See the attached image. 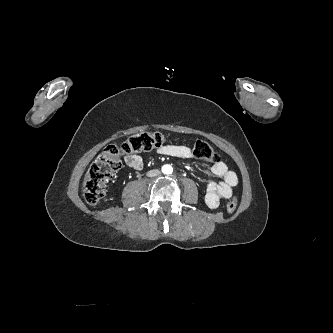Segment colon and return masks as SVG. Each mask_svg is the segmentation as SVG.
Listing matches in <instances>:
<instances>
[{"label": "colon", "instance_id": "5ec220e1", "mask_svg": "<svg viewBox=\"0 0 333 333\" xmlns=\"http://www.w3.org/2000/svg\"><path fill=\"white\" fill-rule=\"evenodd\" d=\"M166 141V137L159 132H142L127 138L120 146L108 145L89 168L84 182L83 194L85 200L95 205L105 195L109 178L119 170L121 158L160 147ZM193 154L196 158L205 162H217L219 157L212 147L203 140L195 141ZM227 211L233 213L237 208V200L232 197L227 203Z\"/></svg>", "mask_w": 333, "mask_h": 333}]
</instances>
